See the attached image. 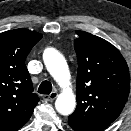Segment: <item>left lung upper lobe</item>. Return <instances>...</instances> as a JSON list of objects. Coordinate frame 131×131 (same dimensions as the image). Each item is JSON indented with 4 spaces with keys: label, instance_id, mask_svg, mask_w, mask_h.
Returning a JSON list of instances; mask_svg holds the SVG:
<instances>
[{
    "label": "left lung upper lobe",
    "instance_id": "obj_1",
    "mask_svg": "<svg viewBox=\"0 0 131 131\" xmlns=\"http://www.w3.org/2000/svg\"><path fill=\"white\" fill-rule=\"evenodd\" d=\"M77 106L68 117L85 131H100L121 113L130 91V75L121 53L106 40L77 30Z\"/></svg>",
    "mask_w": 131,
    "mask_h": 131
}]
</instances>
